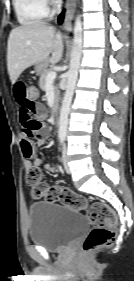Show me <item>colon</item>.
Instances as JSON below:
<instances>
[{
  "label": "colon",
  "mask_w": 134,
  "mask_h": 281,
  "mask_svg": "<svg viewBox=\"0 0 134 281\" xmlns=\"http://www.w3.org/2000/svg\"><path fill=\"white\" fill-rule=\"evenodd\" d=\"M27 96L30 101H37L39 89L34 85L28 86ZM26 182L34 197L45 198L50 202H60L73 209L83 210L87 213L92 230L83 242L84 251L92 252L113 244L118 221L115 213L106 203L89 202L85 197L68 188L47 185L42 180V172L38 167L27 169Z\"/></svg>",
  "instance_id": "5ec220e1"
}]
</instances>
